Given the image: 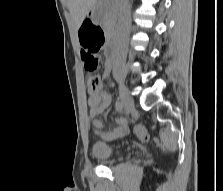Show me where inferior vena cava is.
Listing matches in <instances>:
<instances>
[{
	"label": "inferior vena cava",
	"instance_id": "1",
	"mask_svg": "<svg viewBox=\"0 0 223 191\" xmlns=\"http://www.w3.org/2000/svg\"><path fill=\"white\" fill-rule=\"evenodd\" d=\"M115 5L118 17L119 31L115 42L117 56L114 66V74L118 75L121 73L120 62L126 57V39L131 27V19L128 0H116Z\"/></svg>",
	"mask_w": 223,
	"mask_h": 191
}]
</instances>
